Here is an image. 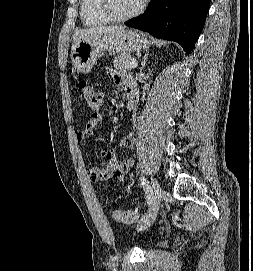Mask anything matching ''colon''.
<instances>
[{
    "label": "colon",
    "mask_w": 253,
    "mask_h": 271,
    "mask_svg": "<svg viewBox=\"0 0 253 271\" xmlns=\"http://www.w3.org/2000/svg\"><path fill=\"white\" fill-rule=\"evenodd\" d=\"M77 92L82 96L88 108L96 112L102 105L101 94L85 81H78L75 86ZM113 219L120 224H133L138 219V212L133 209L111 211Z\"/></svg>",
    "instance_id": "colon-1"
}]
</instances>
